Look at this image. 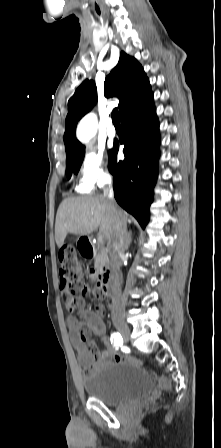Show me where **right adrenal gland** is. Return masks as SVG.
<instances>
[{
  "mask_svg": "<svg viewBox=\"0 0 221 448\" xmlns=\"http://www.w3.org/2000/svg\"><path fill=\"white\" fill-rule=\"evenodd\" d=\"M131 242H132V232L130 231L127 233V245H126L127 249L130 246Z\"/></svg>",
  "mask_w": 221,
  "mask_h": 448,
  "instance_id": "obj_1",
  "label": "right adrenal gland"
}]
</instances>
